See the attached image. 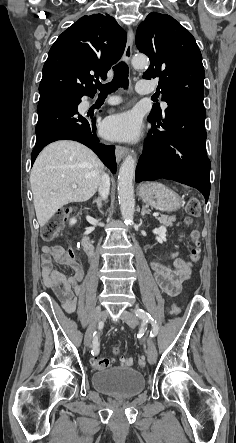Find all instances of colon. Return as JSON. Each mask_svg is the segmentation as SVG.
Here are the masks:
<instances>
[{
	"label": "colon",
	"mask_w": 236,
	"mask_h": 443,
	"mask_svg": "<svg viewBox=\"0 0 236 443\" xmlns=\"http://www.w3.org/2000/svg\"><path fill=\"white\" fill-rule=\"evenodd\" d=\"M186 211L188 216L185 218V224L189 225L191 223L192 217L199 216L201 212V205L197 198H191L188 200L186 205ZM66 213L61 211L53 215L41 228V238L44 241H52L61 231ZM190 240V259L193 262H198L201 257V250L199 247L200 234L197 230H193L189 234ZM171 313L174 315L179 314V308L173 306L171 308ZM119 347H114V352L117 353ZM121 364L126 367L133 365V359L131 357H125L121 359ZM92 365L95 369H106L112 366V360L106 356H96L92 359ZM138 365L140 368L146 367V360L144 357L139 359Z\"/></svg>",
	"instance_id": "1"
}]
</instances>
